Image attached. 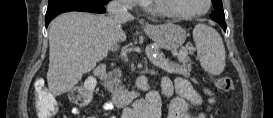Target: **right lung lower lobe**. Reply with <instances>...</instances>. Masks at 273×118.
<instances>
[{"instance_id":"right-lung-lower-lobe-1","label":"right lung lower lobe","mask_w":273,"mask_h":118,"mask_svg":"<svg viewBox=\"0 0 273 118\" xmlns=\"http://www.w3.org/2000/svg\"><path fill=\"white\" fill-rule=\"evenodd\" d=\"M69 11L105 13L106 9L104 4L90 0H49L45 17L46 27L54 17Z\"/></svg>"}]
</instances>
